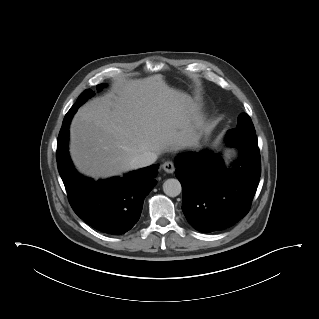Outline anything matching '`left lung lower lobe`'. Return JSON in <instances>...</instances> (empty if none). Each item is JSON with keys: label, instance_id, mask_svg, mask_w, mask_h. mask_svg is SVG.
<instances>
[{"label": "left lung lower lobe", "instance_id": "obj_1", "mask_svg": "<svg viewBox=\"0 0 319 319\" xmlns=\"http://www.w3.org/2000/svg\"><path fill=\"white\" fill-rule=\"evenodd\" d=\"M226 142L240 149L232 172L219 155L184 154L176 160L175 175L182 184V210L198 231L210 233L233 226L249 211L261 175L255 132L228 131Z\"/></svg>", "mask_w": 319, "mask_h": 319}]
</instances>
